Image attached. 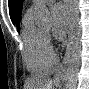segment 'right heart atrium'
<instances>
[{
	"label": "right heart atrium",
	"instance_id": "d8ad5b80",
	"mask_svg": "<svg viewBox=\"0 0 89 89\" xmlns=\"http://www.w3.org/2000/svg\"><path fill=\"white\" fill-rule=\"evenodd\" d=\"M45 39H46V46H47V48L49 50H51V48H50V39H49V37L47 35H46Z\"/></svg>",
	"mask_w": 89,
	"mask_h": 89
}]
</instances>
